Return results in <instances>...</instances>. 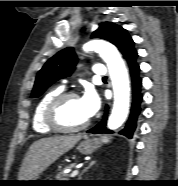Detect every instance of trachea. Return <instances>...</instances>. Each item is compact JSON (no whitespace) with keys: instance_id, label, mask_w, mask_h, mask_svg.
<instances>
[{"instance_id":"trachea-1","label":"trachea","mask_w":178,"mask_h":186,"mask_svg":"<svg viewBox=\"0 0 178 186\" xmlns=\"http://www.w3.org/2000/svg\"><path fill=\"white\" fill-rule=\"evenodd\" d=\"M107 79V77H103V80Z\"/></svg>"}]
</instances>
